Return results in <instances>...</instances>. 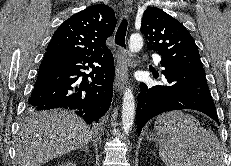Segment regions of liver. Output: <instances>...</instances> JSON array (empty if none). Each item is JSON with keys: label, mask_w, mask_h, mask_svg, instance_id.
<instances>
[{"label": "liver", "mask_w": 231, "mask_h": 166, "mask_svg": "<svg viewBox=\"0 0 231 166\" xmlns=\"http://www.w3.org/2000/svg\"><path fill=\"white\" fill-rule=\"evenodd\" d=\"M93 131L68 110L43 111L24 124L16 141L18 166H42L58 156L83 148Z\"/></svg>", "instance_id": "1"}]
</instances>
